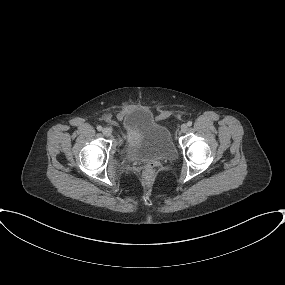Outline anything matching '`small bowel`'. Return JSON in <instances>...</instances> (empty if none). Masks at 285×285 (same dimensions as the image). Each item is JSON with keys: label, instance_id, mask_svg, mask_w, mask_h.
<instances>
[{"label": "small bowel", "instance_id": "1", "mask_svg": "<svg viewBox=\"0 0 285 285\" xmlns=\"http://www.w3.org/2000/svg\"><path fill=\"white\" fill-rule=\"evenodd\" d=\"M131 111L130 106H125L118 114L119 119H123Z\"/></svg>", "mask_w": 285, "mask_h": 285}]
</instances>
